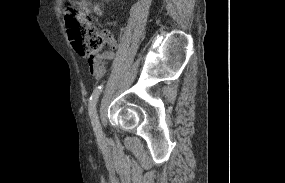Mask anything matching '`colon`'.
<instances>
[{
    "instance_id": "1",
    "label": "colon",
    "mask_w": 285,
    "mask_h": 183,
    "mask_svg": "<svg viewBox=\"0 0 285 183\" xmlns=\"http://www.w3.org/2000/svg\"><path fill=\"white\" fill-rule=\"evenodd\" d=\"M65 24L73 48L89 61L100 57L111 42V34L99 30L88 16L69 10L65 15Z\"/></svg>"
}]
</instances>
